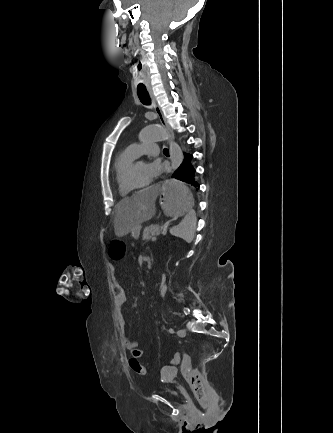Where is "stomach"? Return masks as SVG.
<instances>
[{
	"label": "stomach",
	"mask_w": 333,
	"mask_h": 433,
	"mask_svg": "<svg viewBox=\"0 0 333 433\" xmlns=\"http://www.w3.org/2000/svg\"><path fill=\"white\" fill-rule=\"evenodd\" d=\"M159 196L162 199V212L166 220H182L183 215H188V210H193L191 190L186 183H179L178 176H167L163 183ZM139 232L133 230L132 236L137 239Z\"/></svg>",
	"instance_id": "0dacf381"
}]
</instances>
